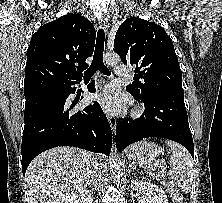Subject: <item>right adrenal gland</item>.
<instances>
[{
	"label": "right adrenal gland",
	"mask_w": 222,
	"mask_h": 203,
	"mask_svg": "<svg viewBox=\"0 0 222 203\" xmlns=\"http://www.w3.org/2000/svg\"><path fill=\"white\" fill-rule=\"evenodd\" d=\"M94 182H95V179H94V177L92 176V178L89 180V182L86 183V186L88 185V186L91 187V185L94 184Z\"/></svg>",
	"instance_id": "obj_1"
}]
</instances>
